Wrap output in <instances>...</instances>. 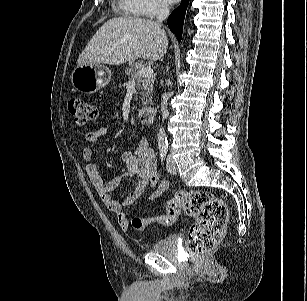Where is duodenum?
<instances>
[{
    "mask_svg": "<svg viewBox=\"0 0 307 301\" xmlns=\"http://www.w3.org/2000/svg\"><path fill=\"white\" fill-rule=\"evenodd\" d=\"M156 110L154 107H146L139 111L138 120L140 123L149 125L155 120Z\"/></svg>",
    "mask_w": 307,
    "mask_h": 301,
    "instance_id": "obj_1",
    "label": "duodenum"
}]
</instances>
